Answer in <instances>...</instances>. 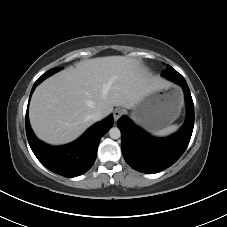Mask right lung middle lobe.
I'll list each match as a JSON object with an SVG mask.
<instances>
[{
    "mask_svg": "<svg viewBox=\"0 0 227 227\" xmlns=\"http://www.w3.org/2000/svg\"><path fill=\"white\" fill-rule=\"evenodd\" d=\"M61 69H62L61 67L52 68V69L48 70L46 73H44L39 79L42 81L45 78L49 77L50 75L54 74L55 72H57V71H59Z\"/></svg>",
    "mask_w": 227,
    "mask_h": 227,
    "instance_id": "1",
    "label": "right lung middle lobe"
}]
</instances>
